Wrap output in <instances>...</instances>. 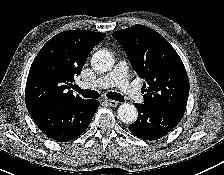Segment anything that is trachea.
Listing matches in <instances>:
<instances>
[{
    "label": "trachea",
    "mask_w": 224,
    "mask_h": 175,
    "mask_svg": "<svg viewBox=\"0 0 224 175\" xmlns=\"http://www.w3.org/2000/svg\"><path fill=\"white\" fill-rule=\"evenodd\" d=\"M75 90L85 98L97 99L100 97V94L95 90H90V89L83 90V89L79 88L78 86L75 87ZM106 96L109 99H112L115 101H120V102L124 101V97L121 94L116 93V92H109V93H107Z\"/></svg>",
    "instance_id": "obj_1"
}]
</instances>
